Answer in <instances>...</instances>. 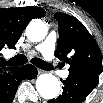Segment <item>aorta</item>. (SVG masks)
I'll return each instance as SVG.
<instances>
[{
	"instance_id": "aorta-1",
	"label": "aorta",
	"mask_w": 103,
	"mask_h": 103,
	"mask_svg": "<svg viewBox=\"0 0 103 103\" xmlns=\"http://www.w3.org/2000/svg\"><path fill=\"white\" fill-rule=\"evenodd\" d=\"M45 23L35 19L26 28V36L32 42L42 41L47 35ZM36 89L39 95L47 100L54 99L60 92V81L52 74H42L36 80Z\"/></svg>"
}]
</instances>
